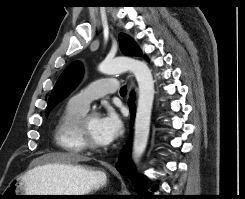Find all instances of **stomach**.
I'll list each match as a JSON object with an SVG mask.
<instances>
[{"label":"stomach","instance_id":"1","mask_svg":"<svg viewBox=\"0 0 245 199\" xmlns=\"http://www.w3.org/2000/svg\"><path fill=\"white\" fill-rule=\"evenodd\" d=\"M56 172L58 174L56 175ZM107 181L105 172L73 163L37 167L6 188L14 195H88ZM15 197V196H14ZM18 198H26L17 196ZM76 198L38 197L37 199Z\"/></svg>","mask_w":245,"mask_h":199}]
</instances>
